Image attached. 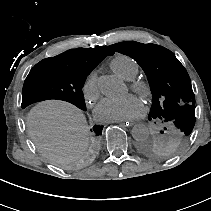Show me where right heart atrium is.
I'll list each match as a JSON object with an SVG mask.
<instances>
[{
    "mask_svg": "<svg viewBox=\"0 0 211 211\" xmlns=\"http://www.w3.org/2000/svg\"><path fill=\"white\" fill-rule=\"evenodd\" d=\"M82 94L88 104L95 103L101 96L99 78L96 72H91L83 82Z\"/></svg>",
    "mask_w": 211,
    "mask_h": 211,
    "instance_id": "right-heart-atrium-1",
    "label": "right heart atrium"
}]
</instances>
